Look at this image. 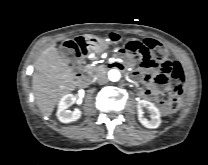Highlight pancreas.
Here are the masks:
<instances>
[{
	"label": "pancreas",
	"instance_id": "obj_1",
	"mask_svg": "<svg viewBox=\"0 0 208 165\" xmlns=\"http://www.w3.org/2000/svg\"><path fill=\"white\" fill-rule=\"evenodd\" d=\"M103 68L101 66H91V65H88L86 67V72L91 75V76H95L97 73H99L100 71H102Z\"/></svg>",
	"mask_w": 208,
	"mask_h": 165
}]
</instances>
